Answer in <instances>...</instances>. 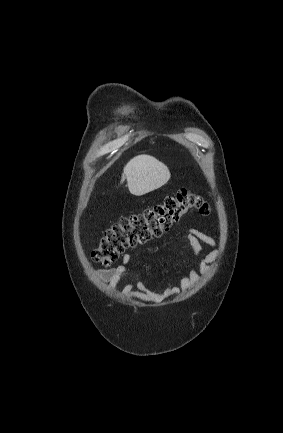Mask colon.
Segmentation results:
<instances>
[{
  "instance_id": "colon-1",
  "label": "colon",
  "mask_w": 283,
  "mask_h": 433,
  "mask_svg": "<svg viewBox=\"0 0 283 433\" xmlns=\"http://www.w3.org/2000/svg\"><path fill=\"white\" fill-rule=\"evenodd\" d=\"M189 211L208 216L211 209L203 197L182 188L176 194L167 196L162 203L114 223L106 230L92 256L97 262L108 266L127 249L162 236Z\"/></svg>"
}]
</instances>
